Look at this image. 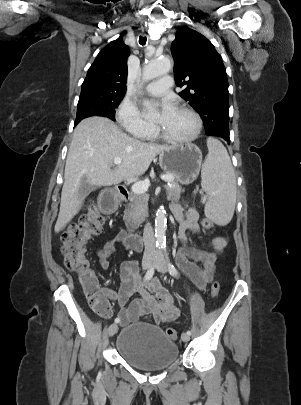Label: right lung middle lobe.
<instances>
[{
  "label": "right lung middle lobe",
  "instance_id": "obj_1",
  "mask_svg": "<svg viewBox=\"0 0 301 405\" xmlns=\"http://www.w3.org/2000/svg\"><path fill=\"white\" fill-rule=\"evenodd\" d=\"M124 95L87 94L80 96L75 125L90 116H103L115 120V108Z\"/></svg>",
  "mask_w": 301,
  "mask_h": 405
}]
</instances>
